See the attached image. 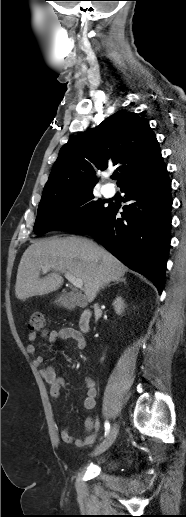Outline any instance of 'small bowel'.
<instances>
[{"instance_id":"obj_1","label":"small bowel","mask_w":186,"mask_h":517,"mask_svg":"<svg viewBox=\"0 0 186 517\" xmlns=\"http://www.w3.org/2000/svg\"><path fill=\"white\" fill-rule=\"evenodd\" d=\"M36 337L33 333L28 334V340L31 342L26 346L27 353L34 358V363L37 366L43 364L44 359L40 356H36L35 346L32 344ZM58 340H72L78 349L85 347V340L82 334L72 327H62L59 329L51 330L48 334V341L50 344H54ZM41 376L49 387V393L51 397L56 400L59 398L61 390L66 387L65 381L60 378L55 369L51 366H46L41 369ZM84 385L86 387V396L83 401V405L87 410H93L96 406L97 389L95 382L86 377L84 379ZM86 436L81 439H76L72 436L67 427L62 428L60 437L65 443L73 444L76 447H84L94 443L97 439L98 432L100 429V422L95 416H88L85 419Z\"/></svg>"}]
</instances>
